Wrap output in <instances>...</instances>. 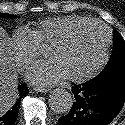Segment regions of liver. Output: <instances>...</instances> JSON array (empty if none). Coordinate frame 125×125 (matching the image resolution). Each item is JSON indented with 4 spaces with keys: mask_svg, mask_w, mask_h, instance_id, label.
<instances>
[{
    "mask_svg": "<svg viewBox=\"0 0 125 125\" xmlns=\"http://www.w3.org/2000/svg\"><path fill=\"white\" fill-rule=\"evenodd\" d=\"M9 46L10 38L0 27V115L11 107L17 95L18 78Z\"/></svg>",
    "mask_w": 125,
    "mask_h": 125,
    "instance_id": "1",
    "label": "liver"
}]
</instances>
